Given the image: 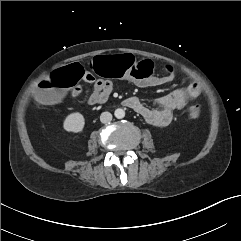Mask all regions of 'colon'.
I'll list each match as a JSON object with an SVG mask.
<instances>
[{
  "instance_id": "obj_1",
  "label": "colon",
  "mask_w": 241,
  "mask_h": 241,
  "mask_svg": "<svg viewBox=\"0 0 241 241\" xmlns=\"http://www.w3.org/2000/svg\"><path fill=\"white\" fill-rule=\"evenodd\" d=\"M86 68L93 75H101L109 78L121 76L136 80L149 78L154 72V63L149 60L137 61L133 56L123 55H95L88 59ZM164 69L168 73L173 72L170 65H165ZM86 69L82 63L70 60L61 66L54 73L44 74L40 80V89L36 95L39 104H50L59 100L62 95L72 88L85 75ZM201 110L198 105H193L188 109L190 118H198Z\"/></svg>"
}]
</instances>
